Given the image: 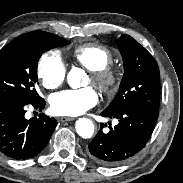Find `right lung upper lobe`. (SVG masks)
<instances>
[{
    "label": "right lung upper lobe",
    "mask_w": 183,
    "mask_h": 183,
    "mask_svg": "<svg viewBox=\"0 0 183 183\" xmlns=\"http://www.w3.org/2000/svg\"><path fill=\"white\" fill-rule=\"evenodd\" d=\"M33 32H41V33H44V34L53 35V34H50L48 32H43V31H33Z\"/></svg>",
    "instance_id": "obj_1"
}]
</instances>
